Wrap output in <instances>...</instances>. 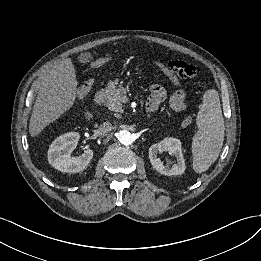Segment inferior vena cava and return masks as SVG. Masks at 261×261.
<instances>
[{"mask_svg": "<svg viewBox=\"0 0 261 261\" xmlns=\"http://www.w3.org/2000/svg\"><path fill=\"white\" fill-rule=\"evenodd\" d=\"M113 129V126L110 122H104L101 124L99 131L100 133H108Z\"/></svg>", "mask_w": 261, "mask_h": 261, "instance_id": "602c4592", "label": "inferior vena cava"}]
</instances>
